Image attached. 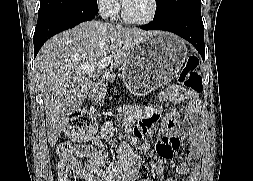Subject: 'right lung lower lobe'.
<instances>
[{"instance_id": "1", "label": "right lung lower lobe", "mask_w": 253, "mask_h": 181, "mask_svg": "<svg viewBox=\"0 0 253 181\" xmlns=\"http://www.w3.org/2000/svg\"><path fill=\"white\" fill-rule=\"evenodd\" d=\"M98 9L83 5H74L38 15V21L33 37L34 58L41 46L53 35L71 29L81 22L93 19Z\"/></svg>"}]
</instances>
